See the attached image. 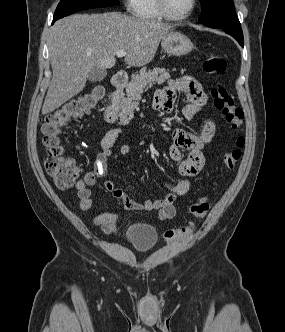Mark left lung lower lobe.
<instances>
[{"label": "left lung lower lobe", "instance_id": "1", "mask_svg": "<svg viewBox=\"0 0 285 332\" xmlns=\"http://www.w3.org/2000/svg\"><path fill=\"white\" fill-rule=\"evenodd\" d=\"M224 30L227 34L234 37L238 43L243 47L244 46V39L241 27L238 28H220Z\"/></svg>", "mask_w": 285, "mask_h": 332}]
</instances>
